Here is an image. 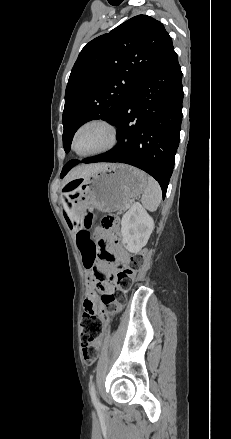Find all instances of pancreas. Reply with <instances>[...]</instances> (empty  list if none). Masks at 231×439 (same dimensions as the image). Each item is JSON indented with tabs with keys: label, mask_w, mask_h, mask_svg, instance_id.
<instances>
[{
	"label": "pancreas",
	"mask_w": 231,
	"mask_h": 439,
	"mask_svg": "<svg viewBox=\"0 0 231 439\" xmlns=\"http://www.w3.org/2000/svg\"><path fill=\"white\" fill-rule=\"evenodd\" d=\"M124 210H125V208H124V209H122V210H121V212H122V211H124Z\"/></svg>",
	"instance_id": "1"
}]
</instances>
